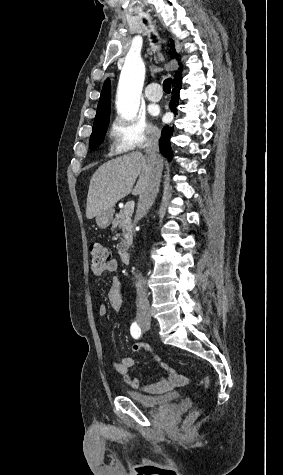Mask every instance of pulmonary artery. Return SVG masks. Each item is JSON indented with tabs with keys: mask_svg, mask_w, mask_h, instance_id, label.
Segmentation results:
<instances>
[{
	"mask_svg": "<svg viewBox=\"0 0 283 475\" xmlns=\"http://www.w3.org/2000/svg\"><path fill=\"white\" fill-rule=\"evenodd\" d=\"M119 90H142V89H119ZM145 94L147 95V99L151 102H158L161 97H158L162 94V89L160 88V84L158 83H151L149 87L145 89Z\"/></svg>",
	"mask_w": 283,
	"mask_h": 475,
	"instance_id": "1",
	"label": "pulmonary artery"
}]
</instances>
